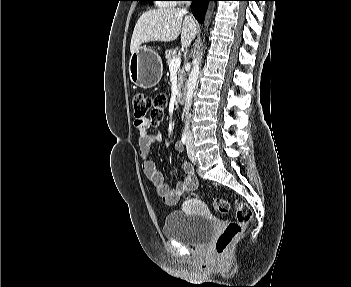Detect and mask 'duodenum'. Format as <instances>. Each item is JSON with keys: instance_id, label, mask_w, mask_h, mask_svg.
<instances>
[{"instance_id": "1", "label": "duodenum", "mask_w": 351, "mask_h": 287, "mask_svg": "<svg viewBox=\"0 0 351 287\" xmlns=\"http://www.w3.org/2000/svg\"><path fill=\"white\" fill-rule=\"evenodd\" d=\"M176 98H177V101L179 103L183 102V99H184V94H183V90L181 88H179L176 92Z\"/></svg>"}]
</instances>
